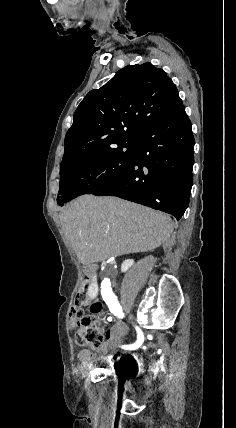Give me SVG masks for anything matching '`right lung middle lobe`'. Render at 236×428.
<instances>
[{
    "label": "right lung middle lobe",
    "instance_id": "1",
    "mask_svg": "<svg viewBox=\"0 0 236 428\" xmlns=\"http://www.w3.org/2000/svg\"><path fill=\"white\" fill-rule=\"evenodd\" d=\"M134 157V140H125L61 169L57 204L63 206L104 188L132 164Z\"/></svg>",
    "mask_w": 236,
    "mask_h": 428
}]
</instances>
